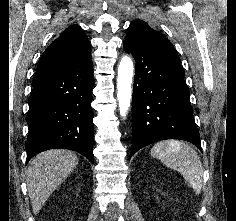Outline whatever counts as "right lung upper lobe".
Here are the masks:
<instances>
[{"mask_svg": "<svg viewBox=\"0 0 236 221\" xmlns=\"http://www.w3.org/2000/svg\"><path fill=\"white\" fill-rule=\"evenodd\" d=\"M91 63L90 42L80 26L71 25L44 51L34 79Z\"/></svg>", "mask_w": 236, "mask_h": 221, "instance_id": "obj_1", "label": "right lung upper lobe"}]
</instances>
